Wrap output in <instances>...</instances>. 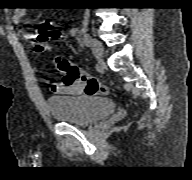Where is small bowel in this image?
Masks as SVG:
<instances>
[{"mask_svg": "<svg viewBox=\"0 0 192 180\" xmlns=\"http://www.w3.org/2000/svg\"><path fill=\"white\" fill-rule=\"evenodd\" d=\"M14 24L20 25L24 21V11L23 10H17L15 11L13 18H12ZM77 32V29L73 27L70 30V34L74 36ZM33 35L31 33H23L22 38L23 39H32ZM51 90L55 94L60 95H79L83 92V89L76 85H66L63 82L62 83H54L51 86Z\"/></svg>", "mask_w": 192, "mask_h": 180, "instance_id": "1", "label": "small bowel"}]
</instances>
